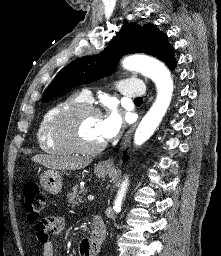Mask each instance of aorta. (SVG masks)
Here are the masks:
<instances>
[{"mask_svg": "<svg viewBox=\"0 0 221 256\" xmlns=\"http://www.w3.org/2000/svg\"><path fill=\"white\" fill-rule=\"evenodd\" d=\"M122 65L127 70H137L149 77L154 81L157 88L156 100L141 120L134 135L135 145H141L151 137L166 114L172 99L173 81L169 70L157 60L127 57L123 60ZM127 186L128 179L123 182L118 191L114 202L115 211L121 209Z\"/></svg>", "mask_w": 221, "mask_h": 256, "instance_id": "aorta-1", "label": "aorta"}]
</instances>
